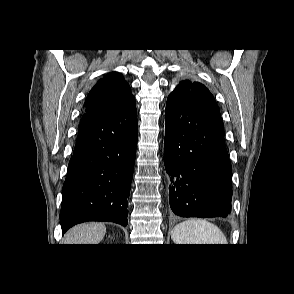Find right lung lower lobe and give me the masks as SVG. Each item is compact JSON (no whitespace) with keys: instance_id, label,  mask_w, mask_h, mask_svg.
<instances>
[{"instance_id":"98d812e1","label":"right lung lower lobe","mask_w":294,"mask_h":294,"mask_svg":"<svg viewBox=\"0 0 294 294\" xmlns=\"http://www.w3.org/2000/svg\"><path fill=\"white\" fill-rule=\"evenodd\" d=\"M136 117L134 99L112 112L82 117L62 189V234L86 221L127 225Z\"/></svg>"}]
</instances>
